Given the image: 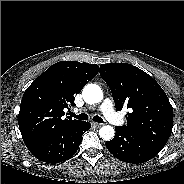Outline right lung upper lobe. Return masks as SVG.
Listing matches in <instances>:
<instances>
[{
  "label": "right lung upper lobe",
  "instance_id": "right-lung-upper-lobe-1",
  "mask_svg": "<svg viewBox=\"0 0 184 184\" xmlns=\"http://www.w3.org/2000/svg\"><path fill=\"white\" fill-rule=\"evenodd\" d=\"M99 71L96 64L60 61L49 67L26 89L18 115L25 143L63 132L82 121L64 117L74 106V96Z\"/></svg>",
  "mask_w": 184,
  "mask_h": 184
}]
</instances>
